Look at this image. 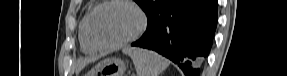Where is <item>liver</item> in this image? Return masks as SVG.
<instances>
[{
  "mask_svg": "<svg viewBox=\"0 0 287 76\" xmlns=\"http://www.w3.org/2000/svg\"><path fill=\"white\" fill-rule=\"evenodd\" d=\"M97 58H86L82 60L77 68V72H80L87 64L96 61Z\"/></svg>",
  "mask_w": 287,
  "mask_h": 76,
  "instance_id": "obj_1",
  "label": "liver"
}]
</instances>
